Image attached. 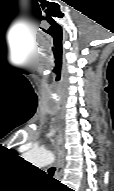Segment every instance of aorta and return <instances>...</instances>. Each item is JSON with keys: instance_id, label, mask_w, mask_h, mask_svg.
I'll return each mask as SVG.
<instances>
[{"instance_id": "1", "label": "aorta", "mask_w": 114, "mask_h": 191, "mask_svg": "<svg viewBox=\"0 0 114 191\" xmlns=\"http://www.w3.org/2000/svg\"><path fill=\"white\" fill-rule=\"evenodd\" d=\"M24 158L38 167L46 166L54 161V155L51 152L39 149L28 151Z\"/></svg>"}]
</instances>
